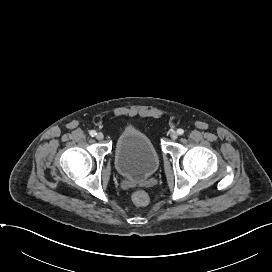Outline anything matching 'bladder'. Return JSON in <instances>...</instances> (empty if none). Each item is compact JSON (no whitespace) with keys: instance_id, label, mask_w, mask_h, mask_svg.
I'll list each match as a JSON object with an SVG mask.
<instances>
[{"instance_id":"1","label":"bladder","mask_w":272,"mask_h":272,"mask_svg":"<svg viewBox=\"0 0 272 272\" xmlns=\"http://www.w3.org/2000/svg\"><path fill=\"white\" fill-rule=\"evenodd\" d=\"M158 152L150 138L135 128H127L116 140L114 163L127 179L140 180L153 175L159 167Z\"/></svg>"}]
</instances>
